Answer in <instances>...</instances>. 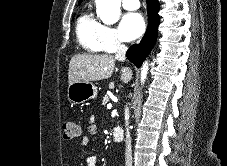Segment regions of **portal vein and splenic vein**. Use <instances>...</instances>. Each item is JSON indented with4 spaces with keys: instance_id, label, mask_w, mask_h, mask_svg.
<instances>
[{
    "instance_id": "portal-vein-and-splenic-vein-1",
    "label": "portal vein and splenic vein",
    "mask_w": 227,
    "mask_h": 166,
    "mask_svg": "<svg viewBox=\"0 0 227 166\" xmlns=\"http://www.w3.org/2000/svg\"><path fill=\"white\" fill-rule=\"evenodd\" d=\"M111 108H112V104H108L107 109H111Z\"/></svg>"
}]
</instances>
